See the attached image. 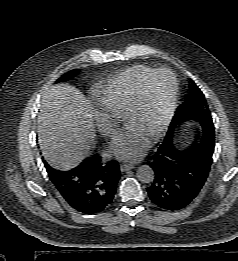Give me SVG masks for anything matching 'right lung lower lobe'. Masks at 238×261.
<instances>
[{
  "mask_svg": "<svg viewBox=\"0 0 238 261\" xmlns=\"http://www.w3.org/2000/svg\"><path fill=\"white\" fill-rule=\"evenodd\" d=\"M43 161L53 184L77 211L95 214L112 203L120 178L118 162L103 163L100 156L91 155L71 170L58 171Z\"/></svg>",
  "mask_w": 238,
  "mask_h": 261,
  "instance_id": "right-lung-lower-lobe-1",
  "label": "right lung lower lobe"
}]
</instances>
